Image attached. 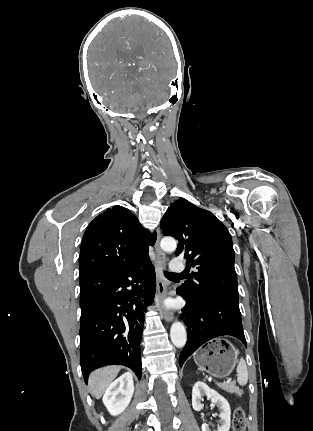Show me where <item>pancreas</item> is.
<instances>
[{"instance_id": "1", "label": "pancreas", "mask_w": 313, "mask_h": 431, "mask_svg": "<svg viewBox=\"0 0 313 431\" xmlns=\"http://www.w3.org/2000/svg\"><path fill=\"white\" fill-rule=\"evenodd\" d=\"M220 388L229 392V393H236L237 395H241V390L238 389L235 384L231 383V384H222L220 385Z\"/></svg>"}]
</instances>
